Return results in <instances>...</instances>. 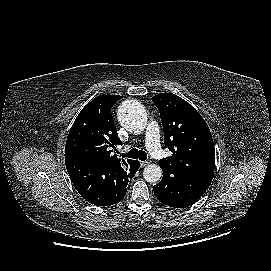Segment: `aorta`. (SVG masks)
<instances>
[{"label": "aorta", "instance_id": "obj_1", "mask_svg": "<svg viewBox=\"0 0 271 271\" xmlns=\"http://www.w3.org/2000/svg\"><path fill=\"white\" fill-rule=\"evenodd\" d=\"M120 124L131 133H141L147 125L144 107L136 100L123 101L117 112ZM162 176V169L157 164H149L143 170V177L149 183H156Z\"/></svg>", "mask_w": 271, "mask_h": 271}]
</instances>
